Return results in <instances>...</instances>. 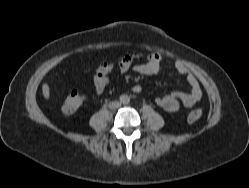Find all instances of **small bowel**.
Segmentation results:
<instances>
[{
	"label": "small bowel",
	"mask_w": 249,
	"mask_h": 188,
	"mask_svg": "<svg viewBox=\"0 0 249 188\" xmlns=\"http://www.w3.org/2000/svg\"><path fill=\"white\" fill-rule=\"evenodd\" d=\"M162 62L159 54L141 51H127L118 63L104 61L93 74L94 92L97 96L104 92L109 76L115 69L122 73L133 70L141 75L153 76L161 72ZM174 68L186 78L190 91L172 92L157 97L155 103L167 112H176L181 106L192 107L202 98V89L196 76L181 62L175 63Z\"/></svg>",
	"instance_id": "1"
}]
</instances>
